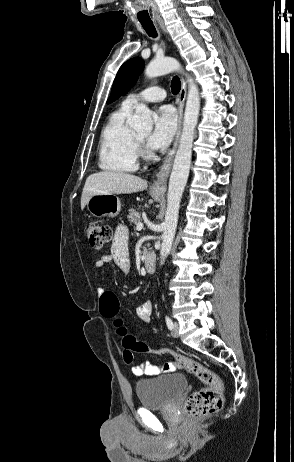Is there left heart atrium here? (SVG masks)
<instances>
[{
	"label": "left heart atrium",
	"mask_w": 294,
	"mask_h": 462,
	"mask_svg": "<svg viewBox=\"0 0 294 462\" xmlns=\"http://www.w3.org/2000/svg\"><path fill=\"white\" fill-rule=\"evenodd\" d=\"M177 127L175 110L171 106H162L156 113L155 123L148 143L152 149L159 150L171 142Z\"/></svg>",
	"instance_id": "left-heart-atrium-1"
}]
</instances>
